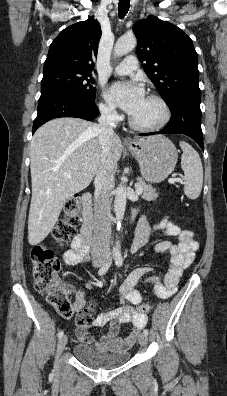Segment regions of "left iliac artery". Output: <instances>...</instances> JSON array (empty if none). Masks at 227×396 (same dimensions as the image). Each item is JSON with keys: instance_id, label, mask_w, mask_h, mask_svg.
<instances>
[{"instance_id": "left-iliac-artery-1", "label": "left iliac artery", "mask_w": 227, "mask_h": 396, "mask_svg": "<svg viewBox=\"0 0 227 396\" xmlns=\"http://www.w3.org/2000/svg\"><path fill=\"white\" fill-rule=\"evenodd\" d=\"M115 264H116L118 267H121V266L123 265V257H122V255H121V253H117V254L115 255ZM143 333H144L145 335H148V334H149V331H148L147 329H145V330L143 331Z\"/></svg>"}]
</instances>
